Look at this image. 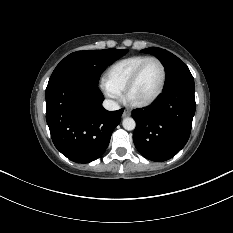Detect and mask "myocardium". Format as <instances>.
I'll list each match as a JSON object with an SVG mask.
<instances>
[{"label":"myocardium","instance_id":"1","mask_svg":"<svg viewBox=\"0 0 233 233\" xmlns=\"http://www.w3.org/2000/svg\"><path fill=\"white\" fill-rule=\"evenodd\" d=\"M151 61H155L157 62L160 67H161V71H162V79H161V84L159 89L157 90V92L148 100L143 101V102H133L129 99V94L132 90V88L134 87V85L136 84L137 80L139 79L143 69L145 68V66L151 62ZM166 80H167V70L166 67L164 65V63L157 57H148L147 59H145L142 63L139 64V66L135 69V71L132 73V75L130 76L125 88H124V100L125 102L134 108H144L147 106H150L151 104H153L163 93L164 89H165V85H166Z\"/></svg>","mask_w":233,"mask_h":233}]
</instances>
